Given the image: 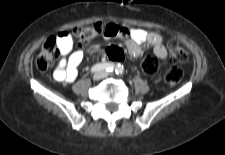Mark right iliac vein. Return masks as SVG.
I'll list each match as a JSON object with an SVG mask.
<instances>
[{"mask_svg": "<svg viewBox=\"0 0 225 155\" xmlns=\"http://www.w3.org/2000/svg\"><path fill=\"white\" fill-rule=\"evenodd\" d=\"M103 78V72H96L94 75H93V80L94 81H99L100 79Z\"/></svg>", "mask_w": 225, "mask_h": 155, "instance_id": "63e3f726", "label": "right iliac vein"}]
</instances>
